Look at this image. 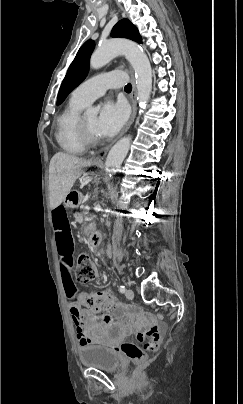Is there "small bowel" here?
<instances>
[{
	"mask_svg": "<svg viewBox=\"0 0 243 404\" xmlns=\"http://www.w3.org/2000/svg\"><path fill=\"white\" fill-rule=\"evenodd\" d=\"M51 221L59 255L63 286L67 296L73 299L77 292L72 272L73 238L64 205L61 204L52 209ZM69 312L76 326L77 340L80 345H114L126 334L127 326L121 321H114L111 315L84 312L73 302L70 304ZM113 326L118 330L114 335L110 334V329Z\"/></svg>",
	"mask_w": 243,
	"mask_h": 404,
	"instance_id": "1",
	"label": "small bowel"
}]
</instances>
